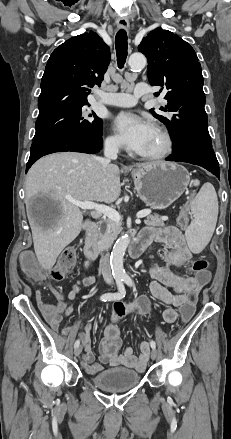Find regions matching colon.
<instances>
[{
    "label": "colon",
    "instance_id": "1",
    "mask_svg": "<svg viewBox=\"0 0 231 439\" xmlns=\"http://www.w3.org/2000/svg\"><path fill=\"white\" fill-rule=\"evenodd\" d=\"M177 224L180 228H186L189 224V212L185 208L177 218ZM76 261V250L74 247H67L59 256L56 264L53 266L50 276L54 281L63 280L73 269ZM20 265L22 270L34 279L42 277L41 270L35 260L34 255L29 251H24L20 255ZM192 270L195 273L196 287H191L188 290V295L183 303L179 305L178 315L183 323H190L195 316L196 305L199 300V294L203 292L204 288L211 283L212 273L208 270V261L205 259H198L192 265ZM42 319L52 320L56 318L55 306L46 304V299H41ZM126 311V305L122 302H117L114 305L112 318L115 320L122 319Z\"/></svg>",
    "mask_w": 231,
    "mask_h": 439
}]
</instances>
